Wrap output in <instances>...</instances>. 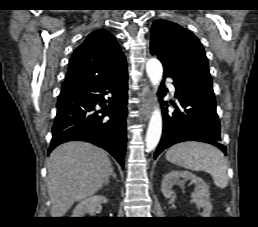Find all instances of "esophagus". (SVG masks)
Instances as JSON below:
<instances>
[{"mask_svg":"<svg viewBox=\"0 0 258 227\" xmlns=\"http://www.w3.org/2000/svg\"><path fill=\"white\" fill-rule=\"evenodd\" d=\"M142 119L147 121L151 115L152 92L148 83H144L140 94Z\"/></svg>","mask_w":258,"mask_h":227,"instance_id":"1","label":"esophagus"}]
</instances>
